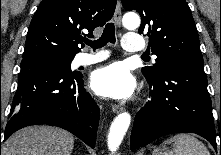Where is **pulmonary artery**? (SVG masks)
<instances>
[{
  "label": "pulmonary artery",
  "mask_w": 221,
  "mask_h": 155,
  "mask_svg": "<svg viewBox=\"0 0 221 155\" xmlns=\"http://www.w3.org/2000/svg\"><path fill=\"white\" fill-rule=\"evenodd\" d=\"M123 48L128 52H140L144 50V43L142 38L135 33H128L123 37ZM107 57L105 52H97L94 54L80 53L74 59L75 66H87L99 61H102Z\"/></svg>",
  "instance_id": "e3ab8cb5"
}]
</instances>
